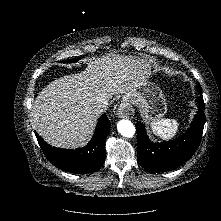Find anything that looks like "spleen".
Here are the masks:
<instances>
[{
    "label": "spleen",
    "instance_id": "1",
    "mask_svg": "<svg viewBox=\"0 0 221 221\" xmlns=\"http://www.w3.org/2000/svg\"><path fill=\"white\" fill-rule=\"evenodd\" d=\"M178 121L175 119H158L151 123L152 132L162 139H169L178 132Z\"/></svg>",
    "mask_w": 221,
    "mask_h": 221
}]
</instances>
